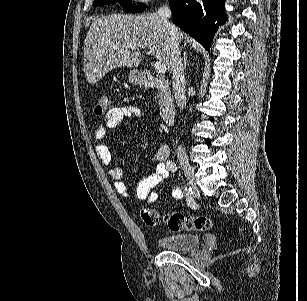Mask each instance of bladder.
<instances>
[{
	"instance_id": "31cf9c89",
	"label": "bladder",
	"mask_w": 307,
	"mask_h": 301,
	"mask_svg": "<svg viewBox=\"0 0 307 301\" xmlns=\"http://www.w3.org/2000/svg\"><path fill=\"white\" fill-rule=\"evenodd\" d=\"M202 241V238H198L194 234L189 233H174L169 236H163L158 241L163 251L167 250H188L191 246H196Z\"/></svg>"
}]
</instances>
